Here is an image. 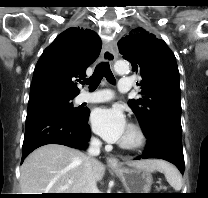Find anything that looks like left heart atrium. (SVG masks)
Listing matches in <instances>:
<instances>
[{
    "label": "left heart atrium",
    "mask_w": 208,
    "mask_h": 198,
    "mask_svg": "<svg viewBox=\"0 0 208 198\" xmlns=\"http://www.w3.org/2000/svg\"><path fill=\"white\" fill-rule=\"evenodd\" d=\"M90 122L95 133L112 143L121 141L128 128L126 117L118 106L96 108Z\"/></svg>",
    "instance_id": "1"
}]
</instances>
